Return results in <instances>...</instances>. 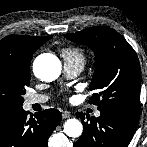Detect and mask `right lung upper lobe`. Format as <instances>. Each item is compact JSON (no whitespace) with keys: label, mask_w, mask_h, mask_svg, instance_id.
Returning <instances> with one entry per match:
<instances>
[{"label":"right lung upper lobe","mask_w":147,"mask_h":147,"mask_svg":"<svg viewBox=\"0 0 147 147\" xmlns=\"http://www.w3.org/2000/svg\"><path fill=\"white\" fill-rule=\"evenodd\" d=\"M50 38L51 36H7L0 41V62L14 64L30 71V61L33 53Z\"/></svg>","instance_id":"right-lung-upper-lobe-1"}]
</instances>
